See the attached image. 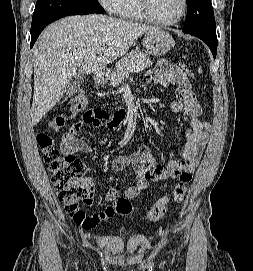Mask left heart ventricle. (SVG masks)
<instances>
[{"instance_id":"left-heart-ventricle-1","label":"left heart ventricle","mask_w":253,"mask_h":271,"mask_svg":"<svg viewBox=\"0 0 253 271\" xmlns=\"http://www.w3.org/2000/svg\"><path fill=\"white\" fill-rule=\"evenodd\" d=\"M152 14L161 20H171L182 10V0H149Z\"/></svg>"}]
</instances>
